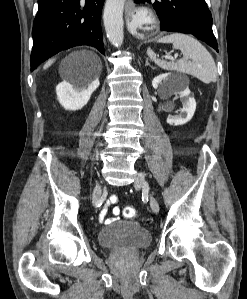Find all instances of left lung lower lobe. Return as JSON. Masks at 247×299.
Returning a JSON list of instances; mask_svg holds the SVG:
<instances>
[{
	"mask_svg": "<svg viewBox=\"0 0 247 299\" xmlns=\"http://www.w3.org/2000/svg\"><path fill=\"white\" fill-rule=\"evenodd\" d=\"M134 1L151 3V0ZM153 7L160 17L162 31L192 34L218 51L205 0H155Z\"/></svg>",
	"mask_w": 247,
	"mask_h": 299,
	"instance_id": "0a47b994",
	"label": "left lung lower lobe"
}]
</instances>
